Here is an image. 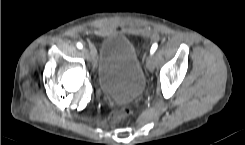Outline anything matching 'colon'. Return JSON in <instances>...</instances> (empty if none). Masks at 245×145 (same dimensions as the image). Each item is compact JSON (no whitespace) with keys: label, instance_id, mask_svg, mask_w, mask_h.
I'll return each instance as SVG.
<instances>
[{"label":"colon","instance_id":"obj_1","mask_svg":"<svg viewBox=\"0 0 245 145\" xmlns=\"http://www.w3.org/2000/svg\"><path fill=\"white\" fill-rule=\"evenodd\" d=\"M131 108L123 107L121 109L115 110L111 113L109 121L112 124H118L123 122L127 117L131 115Z\"/></svg>","mask_w":245,"mask_h":145}]
</instances>
